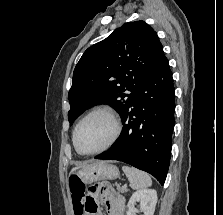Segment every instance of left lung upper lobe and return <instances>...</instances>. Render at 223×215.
Listing matches in <instances>:
<instances>
[{
  "mask_svg": "<svg viewBox=\"0 0 223 215\" xmlns=\"http://www.w3.org/2000/svg\"><path fill=\"white\" fill-rule=\"evenodd\" d=\"M164 59L157 33L147 23H125L89 47L77 63L69 91V122L98 104L110 105L122 118L144 80Z\"/></svg>",
  "mask_w": 223,
  "mask_h": 215,
  "instance_id": "5c2ea615",
  "label": "left lung upper lobe"
}]
</instances>
